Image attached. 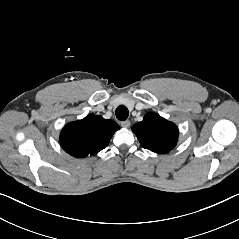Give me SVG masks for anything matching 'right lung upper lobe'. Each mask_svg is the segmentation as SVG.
Returning a JSON list of instances; mask_svg holds the SVG:
<instances>
[{
	"mask_svg": "<svg viewBox=\"0 0 239 239\" xmlns=\"http://www.w3.org/2000/svg\"><path fill=\"white\" fill-rule=\"evenodd\" d=\"M120 127L113 120L89 114L84 119L68 123L61 131L62 148L76 158L93 156L104 149Z\"/></svg>",
	"mask_w": 239,
	"mask_h": 239,
	"instance_id": "right-lung-upper-lobe-1",
	"label": "right lung upper lobe"
}]
</instances>
